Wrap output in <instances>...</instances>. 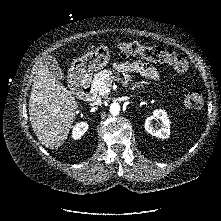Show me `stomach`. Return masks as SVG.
I'll list each match as a JSON object with an SVG mask.
<instances>
[{
	"label": "stomach",
	"instance_id": "obj_1",
	"mask_svg": "<svg viewBox=\"0 0 221 221\" xmlns=\"http://www.w3.org/2000/svg\"><path fill=\"white\" fill-rule=\"evenodd\" d=\"M110 59V51L107 46H99L95 50L87 52L82 57L75 59L70 72L77 76H87L93 70L102 69Z\"/></svg>",
	"mask_w": 221,
	"mask_h": 221
}]
</instances>
